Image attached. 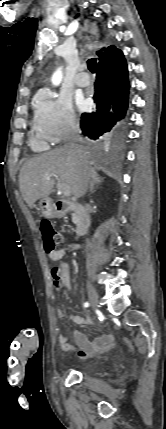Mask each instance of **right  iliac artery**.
Returning a JSON list of instances; mask_svg holds the SVG:
<instances>
[{
	"mask_svg": "<svg viewBox=\"0 0 166 429\" xmlns=\"http://www.w3.org/2000/svg\"><path fill=\"white\" fill-rule=\"evenodd\" d=\"M89 306V303L88 302H85L84 303V307H88Z\"/></svg>",
	"mask_w": 166,
	"mask_h": 429,
	"instance_id": "82829eb1",
	"label": "right iliac artery"
}]
</instances>
